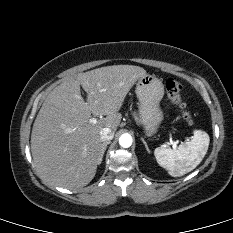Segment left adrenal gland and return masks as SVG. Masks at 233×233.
I'll return each mask as SVG.
<instances>
[{"mask_svg":"<svg viewBox=\"0 0 233 233\" xmlns=\"http://www.w3.org/2000/svg\"><path fill=\"white\" fill-rule=\"evenodd\" d=\"M141 140H142L143 144L145 145V148H146L147 152L150 153V150L148 148V145H147L146 141L143 138H141Z\"/></svg>","mask_w":233,"mask_h":233,"instance_id":"left-adrenal-gland-1","label":"left adrenal gland"}]
</instances>
